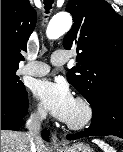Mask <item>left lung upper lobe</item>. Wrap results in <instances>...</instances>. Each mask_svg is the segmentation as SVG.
<instances>
[{"instance_id": "5c2ea615", "label": "left lung upper lobe", "mask_w": 123, "mask_h": 152, "mask_svg": "<svg viewBox=\"0 0 123 152\" xmlns=\"http://www.w3.org/2000/svg\"><path fill=\"white\" fill-rule=\"evenodd\" d=\"M74 24L63 42L78 62L67 74L91 104L103 95L123 93V17L105 0H70Z\"/></svg>"}]
</instances>
